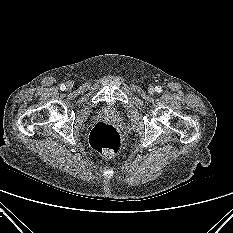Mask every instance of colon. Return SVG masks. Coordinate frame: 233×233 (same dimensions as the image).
I'll use <instances>...</instances> for the list:
<instances>
[{
  "mask_svg": "<svg viewBox=\"0 0 233 233\" xmlns=\"http://www.w3.org/2000/svg\"><path fill=\"white\" fill-rule=\"evenodd\" d=\"M121 141L118 130L106 122L96 123L89 134L90 146L96 152L107 156H112L119 151Z\"/></svg>",
  "mask_w": 233,
  "mask_h": 233,
  "instance_id": "obj_1",
  "label": "colon"
}]
</instances>
